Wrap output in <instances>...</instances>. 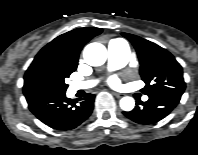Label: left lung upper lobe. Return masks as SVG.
<instances>
[{
	"label": "left lung upper lobe",
	"instance_id": "1",
	"mask_svg": "<svg viewBox=\"0 0 198 155\" xmlns=\"http://www.w3.org/2000/svg\"><path fill=\"white\" fill-rule=\"evenodd\" d=\"M135 47L140 61V75L146 83L142 92L148 96H182L185 90L182 67L164 48L136 35L122 33Z\"/></svg>",
	"mask_w": 198,
	"mask_h": 155
}]
</instances>
